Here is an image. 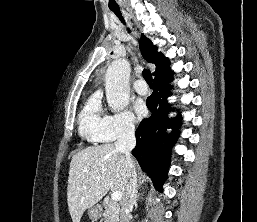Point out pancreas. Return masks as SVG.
<instances>
[{
  "label": "pancreas",
  "instance_id": "pancreas-1",
  "mask_svg": "<svg viewBox=\"0 0 257 222\" xmlns=\"http://www.w3.org/2000/svg\"><path fill=\"white\" fill-rule=\"evenodd\" d=\"M104 208V222H119L120 207L116 202L110 200L104 203Z\"/></svg>",
  "mask_w": 257,
  "mask_h": 222
}]
</instances>
